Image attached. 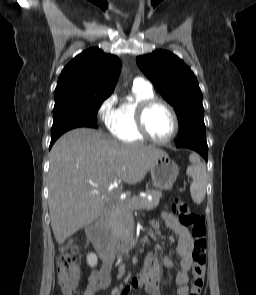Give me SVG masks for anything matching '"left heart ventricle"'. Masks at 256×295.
<instances>
[{"mask_svg":"<svg viewBox=\"0 0 256 295\" xmlns=\"http://www.w3.org/2000/svg\"><path fill=\"white\" fill-rule=\"evenodd\" d=\"M148 129L158 139H165L171 135L174 127L170 112L162 105L152 107L146 117Z\"/></svg>","mask_w":256,"mask_h":295,"instance_id":"left-heart-ventricle-1","label":"left heart ventricle"}]
</instances>
